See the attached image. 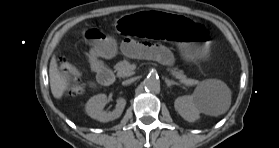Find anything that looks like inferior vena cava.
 Instances as JSON below:
<instances>
[{
  "mask_svg": "<svg viewBox=\"0 0 279 148\" xmlns=\"http://www.w3.org/2000/svg\"><path fill=\"white\" fill-rule=\"evenodd\" d=\"M134 81V79H128L126 81L123 82V84L128 85L131 84Z\"/></svg>",
  "mask_w": 279,
  "mask_h": 148,
  "instance_id": "1",
  "label": "inferior vena cava"
}]
</instances>
